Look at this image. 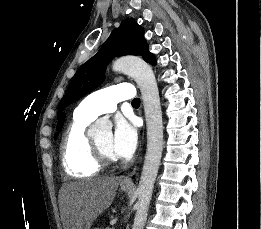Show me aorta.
Returning a JSON list of instances; mask_svg holds the SVG:
<instances>
[{
	"label": "aorta",
	"mask_w": 261,
	"mask_h": 229,
	"mask_svg": "<svg viewBox=\"0 0 261 229\" xmlns=\"http://www.w3.org/2000/svg\"><path fill=\"white\" fill-rule=\"evenodd\" d=\"M112 70L132 76L142 92L147 127V151L139 187L136 191L138 201L135 205L136 215L132 229H144L163 151V123L159 90L151 66L139 56L117 58L112 64ZM88 135L89 137L94 135V141L112 137V123L109 121V117L98 119Z\"/></svg>",
	"instance_id": "obj_1"
}]
</instances>
